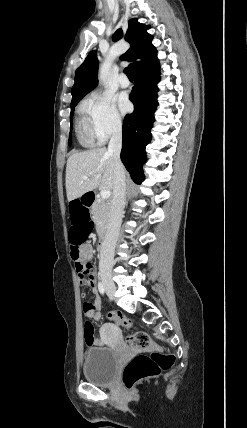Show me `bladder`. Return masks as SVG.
Masks as SVG:
<instances>
[{
  "label": "bladder",
  "instance_id": "31cf9c89",
  "mask_svg": "<svg viewBox=\"0 0 247 428\" xmlns=\"http://www.w3.org/2000/svg\"><path fill=\"white\" fill-rule=\"evenodd\" d=\"M119 369V355L110 347H94L85 353L83 375L96 385L111 384Z\"/></svg>",
  "mask_w": 247,
  "mask_h": 428
}]
</instances>
